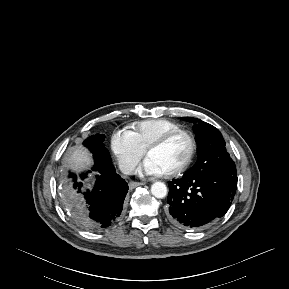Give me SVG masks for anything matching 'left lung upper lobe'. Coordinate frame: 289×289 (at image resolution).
<instances>
[{
    "label": "left lung upper lobe",
    "mask_w": 289,
    "mask_h": 289,
    "mask_svg": "<svg viewBox=\"0 0 289 289\" xmlns=\"http://www.w3.org/2000/svg\"><path fill=\"white\" fill-rule=\"evenodd\" d=\"M184 121L195 124L198 162L189 173L208 172L225 167L231 174L237 175L235 163L225 148V141L214 126L193 117H182Z\"/></svg>",
    "instance_id": "obj_1"
}]
</instances>
